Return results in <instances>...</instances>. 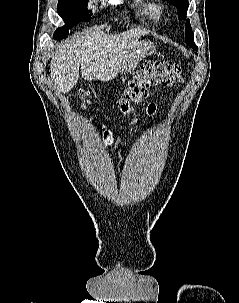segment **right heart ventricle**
<instances>
[{"label": "right heart ventricle", "instance_id": "obj_1", "mask_svg": "<svg viewBox=\"0 0 239 303\" xmlns=\"http://www.w3.org/2000/svg\"><path fill=\"white\" fill-rule=\"evenodd\" d=\"M163 11V6L156 1L148 0L144 4L145 14L153 20H158L161 17Z\"/></svg>", "mask_w": 239, "mask_h": 303}]
</instances>
